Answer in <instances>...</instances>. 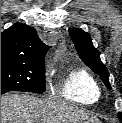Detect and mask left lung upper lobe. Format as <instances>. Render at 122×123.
<instances>
[{
  "mask_svg": "<svg viewBox=\"0 0 122 123\" xmlns=\"http://www.w3.org/2000/svg\"><path fill=\"white\" fill-rule=\"evenodd\" d=\"M69 35L81 60L101 77L106 87L111 88L108 70L101 62L99 51L94 48L90 34L82 29H71ZM118 116L122 117V113H118Z\"/></svg>",
  "mask_w": 122,
  "mask_h": 123,
  "instance_id": "5c2ea615",
  "label": "left lung upper lobe"
}]
</instances>
